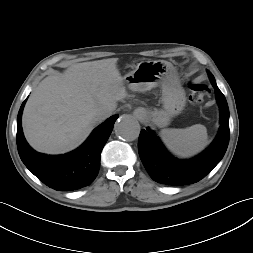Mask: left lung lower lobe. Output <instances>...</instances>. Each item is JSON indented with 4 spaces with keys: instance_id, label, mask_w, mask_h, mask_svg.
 Segmentation results:
<instances>
[{
    "instance_id": "left-lung-lower-lobe-1",
    "label": "left lung lower lobe",
    "mask_w": 253,
    "mask_h": 253,
    "mask_svg": "<svg viewBox=\"0 0 253 253\" xmlns=\"http://www.w3.org/2000/svg\"><path fill=\"white\" fill-rule=\"evenodd\" d=\"M216 100L220 108V130L203 153L190 160L171 156L154 132L147 128L140 132L138 152L141 161L153 180L166 185H188L204 178L223 158L229 143V108L225 96L216 84Z\"/></svg>"
}]
</instances>
